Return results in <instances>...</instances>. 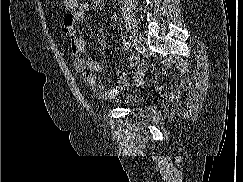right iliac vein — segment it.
<instances>
[{
    "label": "right iliac vein",
    "instance_id": "right-iliac-vein-1",
    "mask_svg": "<svg viewBox=\"0 0 243 182\" xmlns=\"http://www.w3.org/2000/svg\"><path fill=\"white\" fill-rule=\"evenodd\" d=\"M130 40L134 45H138L140 43V39L138 36L136 35H132L130 36Z\"/></svg>",
    "mask_w": 243,
    "mask_h": 182
}]
</instances>
